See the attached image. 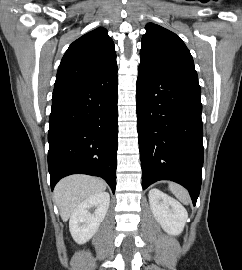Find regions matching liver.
I'll return each mask as SVG.
<instances>
[{"instance_id":"6515ba94","label":"liver","mask_w":242,"mask_h":270,"mask_svg":"<svg viewBox=\"0 0 242 270\" xmlns=\"http://www.w3.org/2000/svg\"><path fill=\"white\" fill-rule=\"evenodd\" d=\"M105 189V181L86 175H72L59 181L54 197L62 220L67 221L82 201Z\"/></svg>"}]
</instances>
